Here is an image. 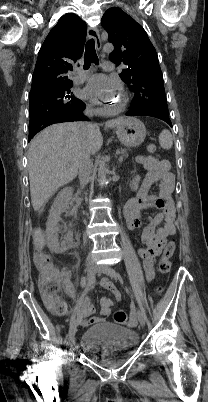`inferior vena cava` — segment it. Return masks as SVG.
<instances>
[{"instance_id": "inferior-vena-cava-1", "label": "inferior vena cava", "mask_w": 208, "mask_h": 402, "mask_svg": "<svg viewBox=\"0 0 208 402\" xmlns=\"http://www.w3.org/2000/svg\"><path fill=\"white\" fill-rule=\"evenodd\" d=\"M85 116H92L93 110L90 106H87ZM92 124H79L82 132H86L87 128H90ZM77 164H78V174L81 186H86L88 184L93 172L91 170L90 164V152L85 140H81V148L77 154Z\"/></svg>"}]
</instances>
